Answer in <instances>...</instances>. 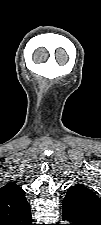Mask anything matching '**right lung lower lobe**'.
<instances>
[{
	"mask_svg": "<svg viewBox=\"0 0 101 225\" xmlns=\"http://www.w3.org/2000/svg\"><path fill=\"white\" fill-rule=\"evenodd\" d=\"M29 225H33V224H32V222H31V223H29Z\"/></svg>",
	"mask_w": 101,
	"mask_h": 225,
	"instance_id": "1",
	"label": "right lung lower lobe"
}]
</instances>
